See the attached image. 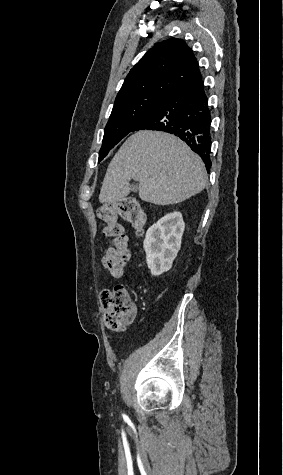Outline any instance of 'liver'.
Segmentation results:
<instances>
[{
	"label": "liver",
	"mask_w": 283,
	"mask_h": 475,
	"mask_svg": "<svg viewBox=\"0 0 283 475\" xmlns=\"http://www.w3.org/2000/svg\"><path fill=\"white\" fill-rule=\"evenodd\" d=\"M131 178L139 182L143 202L167 206L202 192L206 170L201 158L176 136L141 130L130 136L111 160L99 202H125Z\"/></svg>",
	"instance_id": "6515ba94"
}]
</instances>
